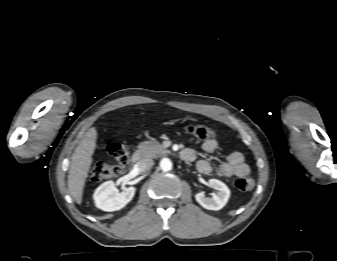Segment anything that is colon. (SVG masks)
<instances>
[{"instance_id": "colon-1", "label": "colon", "mask_w": 337, "mask_h": 261, "mask_svg": "<svg viewBox=\"0 0 337 261\" xmlns=\"http://www.w3.org/2000/svg\"><path fill=\"white\" fill-rule=\"evenodd\" d=\"M187 132L198 140H210L216 137L211 128L204 125H189ZM108 155L115 164L97 162L90 168L89 177L92 181L99 182L120 175L129 160V149L122 143H110L106 147ZM235 187L242 192L250 191L254 187V180L250 176H243L235 181Z\"/></svg>"}]
</instances>
